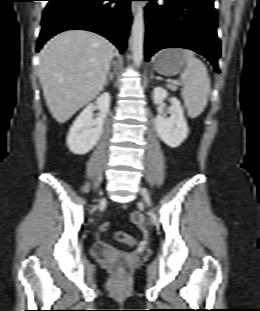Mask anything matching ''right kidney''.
I'll return each mask as SVG.
<instances>
[{"instance_id": "right-kidney-1", "label": "right kidney", "mask_w": 260, "mask_h": 311, "mask_svg": "<svg viewBox=\"0 0 260 311\" xmlns=\"http://www.w3.org/2000/svg\"><path fill=\"white\" fill-rule=\"evenodd\" d=\"M110 99L108 92L103 93L96 99V106L93 103L89 104L76 118L67 136V146L72 153L84 155L97 144L109 112ZM96 107L100 113L93 119Z\"/></svg>"}]
</instances>
